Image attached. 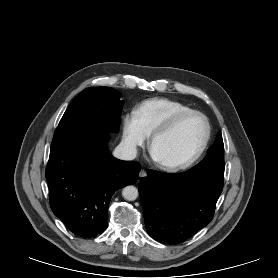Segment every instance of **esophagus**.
Listing matches in <instances>:
<instances>
[{
  "label": "esophagus",
  "instance_id": "obj_1",
  "mask_svg": "<svg viewBox=\"0 0 278 278\" xmlns=\"http://www.w3.org/2000/svg\"><path fill=\"white\" fill-rule=\"evenodd\" d=\"M146 175H147V173H146L145 170H141V171L139 172V178H144V177H146Z\"/></svg>",
  "mask_w": 278,
  "mask_h": 278
}]
</instances>
